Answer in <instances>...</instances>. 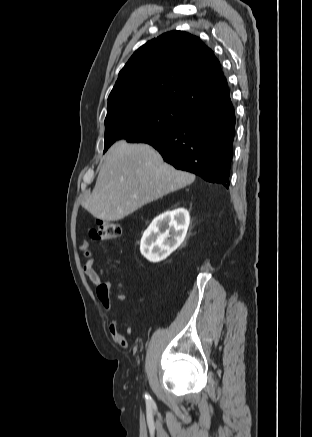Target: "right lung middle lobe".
<instances>
[{"mask_svg":"<svg viewBox=\"0 0 312 437\" xmlns=\"http://www.w3.org/2000/svg\"><path fill=\"white\" fill-rule=\"evenodd\" d=\"M191 114L177 105L162 102L132 103L107 113L104 152L118 139L145 142L178 128Z\"/></svg>","mask_w":312,"mask_h":437,"instance_id":"1","label":"right lung middle lobe"}]
</instances>
